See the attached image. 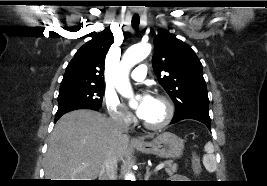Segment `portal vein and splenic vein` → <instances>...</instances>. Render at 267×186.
Here are the masks:
<instances>
[{"mask_svg":"<svg viewBox=\"0 0 267 186\" xmlns=\"http://www.w3.org/2000/svg\"><path fill=\"white\" fill-rule=\"evenodd\" d=\"M165 165L163 164V163H160L159 165H157V167H156V171H159V170H161L163 167H164Z\"/></svg>","mask_w":267,"mask_h":186,"instance_id":"obj_1","label":"portal vein and splenic vein"}]
</instances>
